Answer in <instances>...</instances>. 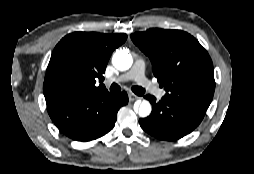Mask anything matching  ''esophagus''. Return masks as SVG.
<instances>
[{
    "instance_id": "esophagus-1",
    "label": "esophagus",
    "mask_w": 254,
    "mask_h": 174,
    "mask_svg": "<svg viewBox=\"0 0 254 174\" xmlns=\"http://www.w3.org/2000/svg\"><path fill=\"white\" fill-rule=\"evenodd\" d=\"M128 97H129L130 102H133V101L139 99V97L137 95L133 94V93H129Z\"/></svg>"
}]
</instances>
